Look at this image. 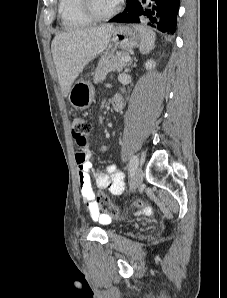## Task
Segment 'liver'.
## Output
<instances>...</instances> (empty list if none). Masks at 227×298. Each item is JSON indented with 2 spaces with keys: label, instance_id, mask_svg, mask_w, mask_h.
<instances>
[{
  "label": "liver",
  "instance_id": "liver-1",
  "mask_svg": "<svg viewBox=\"0 0 227 298\" xmlns=\"http://www.w3.org/2000/svg\"><path fill=\"white\" fill-rule=\"evenodd\" d=\"M113 31V25H102L69 30L54 37L51 50L64 97L84 67L107 48Z\"/></svg>",
  "mask_w": 227,
  "mask_h": 298
}]
</instances>
